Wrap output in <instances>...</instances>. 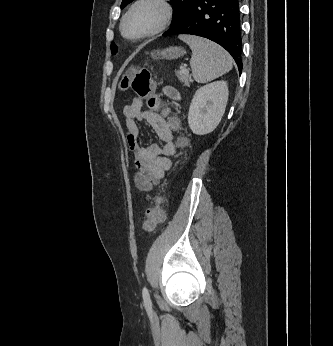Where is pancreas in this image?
I'll return each mask as SVG.
<instances>
[{
	"label": "pancreas",
	"instance_id": "cf45deb5",
	"mask_svg": "<svg viewBox=\"0 0 333 346\" xmlns=\"http://www.w3.org/2000/svg\"><path fill=\"white\" fill-rule=\"evenodd\" d=\"M176 76L178 77L179 81L186 86H189L192 81L189 73H183L182 69L176 71Z\"/></svg>",
	"mask_w": 333,
	"mask_h": 346
}]
</instances>
